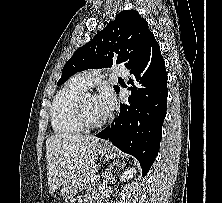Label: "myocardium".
Returning a JSON list of instances; mask_svg holds the SVG:
<instances>
[{
	"instance_id": "obj_1",
	"label": "myocardium",
	"mask_w": 222,
	"mask_h": 203,
	"mask_svg": "<svg viewBox=\"0 0 222 203\" xmlns=\"http://www.w3.org/2000/svg\"><path fill=\"white\" fill-rule=\"evenodd\" d=\"M90 96H95L91 92H84L77 100L76 107H75V112H76V117L78 119V122L80 125L85 128V129H95L103 126L109 119L110 115H107L103 119L93 122L88 119L85 109H84V103L87 97Z\"/></svg>"
}]
</instances>
